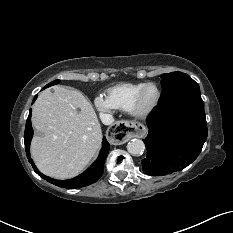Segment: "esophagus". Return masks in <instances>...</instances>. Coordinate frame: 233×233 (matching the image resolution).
<instances>
[{"mask_svg":"<svg viewBox=\"0 0 233 233\" xmlns=\"http://www.w3.org/2000/svg\"><path fill=\"white\" fill-rule=\"evenodd\" d=\"M145 128L142 124L133 121H117L114 126L109 128L107 139L112 144H121L129 140V138L143 137Z\"/></svg>","mask_w":233,"mask_h":233,"instance_id":"34e87169","label":"esophagus"}]
</instances>
